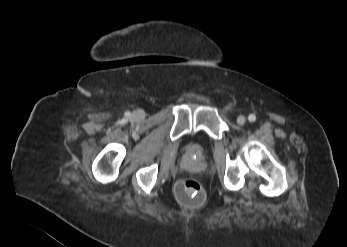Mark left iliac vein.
Segmentation results:
<instances>
[{
    "mask_svg": "<svg viewBox=\"0 0 347 247\" xmlns=\"http://www.w3.org/2000/svg\"><path fill=\"white\" fill-rule=\"evenodd\" d=\"M245 122H246V118H245L243 115L238 116V118H237V123H238L239 125H244Z\"/></svg>",
    "mask_w": 347,
    "mask_h": 247,
    "instance_id": "obj_1",
    "label": "left iliac vein"
}]
</instances>
